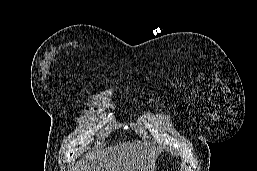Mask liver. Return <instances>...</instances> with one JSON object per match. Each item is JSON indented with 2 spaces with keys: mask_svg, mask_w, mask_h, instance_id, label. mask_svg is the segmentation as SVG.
<instances>
[{
  "mask_svg": "<svg viewBox=\"0 0 257 171\" xmlns=\"http://www.w3.org/2000/svg\"><path fill=\"white\" fill-rule=\"evenodd\" d=\"M157 150L141 142H127L82 156L75 171H155Z\"/></svg>",
  "mask_w": 257,
  "mask_h": 171,
  "instance_id": "6515ba94",
  "label": "liver"
}]
</instances>
